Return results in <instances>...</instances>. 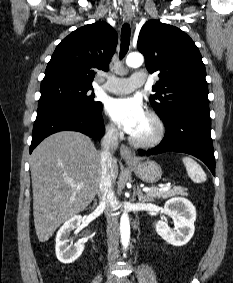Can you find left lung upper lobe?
I'll list each match as a JSON object with an SVG mask.
<instances>
[{"instance_id":"5c2ea615","label":"left lung upper lobe","mask_w":233,"mask_h":283,"mask_svg":"<svg viewBox=\"0 0 233 283\" xmlns=\"http://www.w3.org/2000/svg\"><path fill=\"white\" fill-rule=\"evenodd\" d=\"M138 50L147 70L158 73L150 103L162 120L190 107L209 108L205 65L193 40L182 30L158 20L141 28Z\"/></svg>"}]
</instances>
